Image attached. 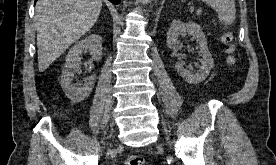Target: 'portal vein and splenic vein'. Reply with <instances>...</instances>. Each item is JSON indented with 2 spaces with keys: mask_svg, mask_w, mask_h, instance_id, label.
Segmentation results:
<instances>
[{
  "mask_svg": "<svg viewBox=\"0 0 276 165\" xmlns=\"http://www.w3.org/2000/svg\"><path fill=\"white\" fill-rule=\"evenodd\" d=\"M193 9H194V7H193V6H191V10H193ZM201 12H202V9H201V8H199V9H198V11H197V13H198V14H200Z\"/></svg>",
  "mask_w": 276,
  "mask_h": 165,
  "instance_id": "1",
  "label": "portal vein and splenic vein"
}]
</instances>
